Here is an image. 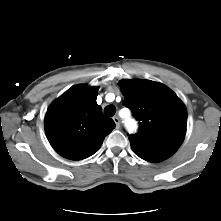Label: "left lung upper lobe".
<instances>
[{
    "instance_id": "left-lung-upper-lobe-1",
    "label": "left lung upper lobe",
    "mask_w": 221,
    "mask_h": 221,
    "mask_svg": "<svg viewBox=\"0 0 221 221\" xmlns=\"http://www.w3.org/2000/svg\"><path fill=\"white\" fill-rule=\"evenodd\" d=\"M128 107L139 121V132L129 137L134 153L149 162H160L182 144L187 110L177 95L150 80H122L118 84Z\"/></svg>"
}]
</instances>
